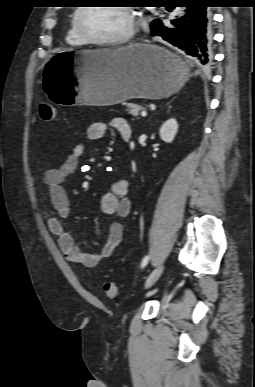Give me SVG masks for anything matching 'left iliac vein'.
I'll return each mask as SVG.
<instances>
[{
    "label": "left iliac vein",
    "mask_w": 255,
    "mask_h": 387,
    "mask_svg": "<svg viewBox=\"0 0 255 387\" xmlns=\"http://www.w3.org/2000/svg\"><path fill=\"white\" fill-rule=\"evenodd\" d=\"M164 270V266L160 265L157 268H155L151 274L148 276L146 282H145V288H150L161 276L162 272Z\"/></svg>",
    "instance_id": "1"
}]
</instances>
